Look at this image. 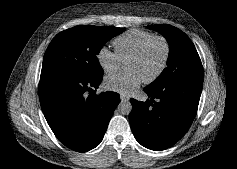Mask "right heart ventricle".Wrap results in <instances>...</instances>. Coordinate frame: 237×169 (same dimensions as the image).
<instances>
[{"label":"right heart ventricle","instance_id":"1","mask_svg":"<svg viewBox=\"0 0 237 169\" xmlns=\"http://www.w3.org/2000/svg\"><path fill=\"white\" fill-rule=\"evenodd\" d=\"M153 36L155 35L151 32L134 29L116 37L113 40V45L121 61H127L133 53Z\"/></svg>","mask_w":237,"mask_h":169}]
</instances>
